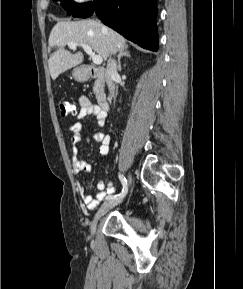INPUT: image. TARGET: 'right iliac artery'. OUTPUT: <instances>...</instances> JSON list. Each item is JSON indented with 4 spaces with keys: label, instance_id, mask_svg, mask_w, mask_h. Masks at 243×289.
Instances as JSON below:
<instances>
[{
    "label": "right iliac artery",
    "instance_id": "right-iliac-artery-1",
    "mask_svg": "<svg viewBox=\"0 0 243 289\" xmlns=\"http://www.w3.org/2000/svg\"><path fill=\"white\" fill-rule=\"evenodd\" d=\"M119 179H120V181H121V183H122V185H123L122 192H121L120 194H117V195L109 194V195L106 197V200L122 198V197H124L125 194L127 193L128 184H127L126 178H125L122 174H119Z\"/></svg>",
    "mask_w": 243,
    "mask_h": 289
}]
</instances>
